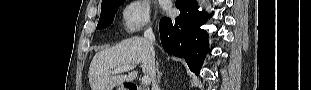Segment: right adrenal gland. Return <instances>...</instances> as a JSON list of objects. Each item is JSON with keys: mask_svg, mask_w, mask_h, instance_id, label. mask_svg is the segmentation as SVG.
<instances>
[{"mask_svg": "<svg viewBox=\"0 0 311 90\" xmlns=\"http://www.w3.org/2000/svg\"><path fill=\"white\" fill-rule=\"evenodd\" d=\"M157 72H158V82H160L162 73L159 71L158 64H157Z\"/></svg>", "mask_w": 311, "mask_h": 90, "instance_id": "right-adrenal-gland-1", "label": "right adrenal gland"}]
</instances>
